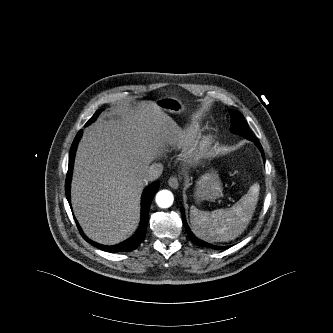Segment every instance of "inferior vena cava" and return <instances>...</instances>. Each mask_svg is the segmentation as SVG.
Wrapping results in <instances>:
<instances>
[{
    "mask_svg": "<svg viewBox=\"0 0 333 333\" xmlns=\"http://www.w3.org/2000/svg\"><path fill=\"white\" fill-rule=\"evenodd\" d=\"M162 172H163V165L161 163H153L148 168L145 174V179L146 181H154L161 176Z\"/></svg>",
    "mask_w": 333,
    "mask_h": 333,
    "instance_id": "inferior-vena-cava-1",
    "label": "inferior vena cava"
}]
</instances>
